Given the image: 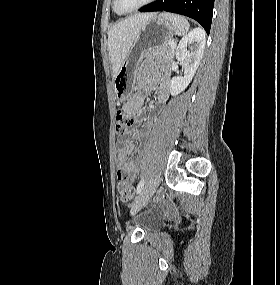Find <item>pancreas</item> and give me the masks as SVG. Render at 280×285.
<instances>
[{
    "label": "pancreas",
    "instance_id": "obj_1",
    "mask_svg": "<svg viewBox=\"0 0 280 285\" xmlns=\"http://www.w3.org/2000/svg\"><path fill=\"white\" fill-rule=\"evenodd\" d=\"M171 41H168L161 46L150 49L145 53V56H161L164 59L172 60L174 57V48L171 47Z\"/></svg>",
    "mask_w": 280,
    "mask_h": 285
}]
</instances>
